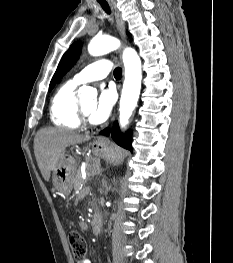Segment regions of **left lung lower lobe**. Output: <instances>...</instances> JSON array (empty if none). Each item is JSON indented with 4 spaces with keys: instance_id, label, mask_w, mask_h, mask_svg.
<instances>
[{
    "instance_id": "obj_1",
    "label": "left lung lower lobe",
    "mask_w": 233,
    "mask_h": 263,
    "mask_svg": "<svg viewBox=\"0 0 233 263\" xmlns=\"http://www.w3.org/2000/svg\"><path fill=\"white\" fill-rule=\"evenodd\" d=\"M102 135H109L110 134V129L107 128L101 132ZM111 135L113 140L120 146L126 148V149H131V134L127 132L125 135H122L120 133V129L118 126V123H115L112 130H111Z\"/></svg>"
}]
</instances>
